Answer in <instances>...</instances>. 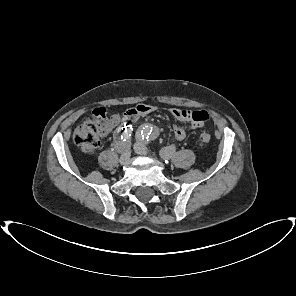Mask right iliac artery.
<instances>
[{"label":"right iliac artery","mask_w":296,"mask_h":296,"mask_svg":"<svg viewBox=\"0 0 296 296\" xmlns=\"http://www.w3.org/2000/svg\"><path fill=\"white\" fill-rule=\"evenodd\" d=\"M133 128L131 125H125L118 128L117 135H116V144L117 148L120 152L124 151V138L126 137L127 133H132Z\"/></svg>","instance_id":"right-iliac-artery-1"}]
</instances>
